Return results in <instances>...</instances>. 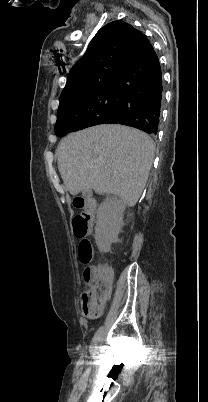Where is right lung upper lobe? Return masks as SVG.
<instances>
[{
  "instance_id": "obj_1",
  "label": "right lung upper lobe",
  "mask_w": 208,
  "mask_h": 402,
  "mask_svg": "<svg viewBox=\"0 0 208 402\" xmlns=\"http://www.w3.org/2000/svg\"><path fill=\"white\" fill-rule=\"evenodd\" d=\"M146 39L143 33L122 21L102 27L71 68L61 96L113 81Z\"/></svg>"
}]
</instances>
